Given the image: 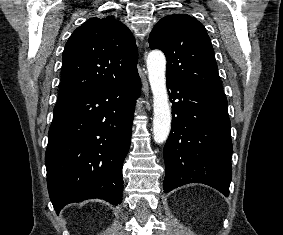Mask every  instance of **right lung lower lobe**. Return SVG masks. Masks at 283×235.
Returning a JSON list of instances; mask_svg holds the SVG:
<instances>
[{
  "label": "right lung lower lobe",
  "mask_w": 283,
  "mask_h": 235,
  "mask_svg": "<svg viewBox=\"0 0 283 235\" xmlns=\"http://www.w3.org/2000/svg\"><path fill=\"white\" fill-rule=\"evenodd\" d=\"M140 77L58 101L45 154L47 184L58 214L72 202L122 201V164L129 151Z\"/></svg>",
  "instance_id": "right-lung-lower-lobe-1"
}]
</instances>
